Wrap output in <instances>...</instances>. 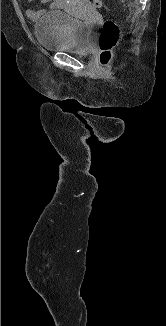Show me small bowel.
I'll use <instances>...</instances> for the list:
<instances>
[{
    "label": "small bowel",
    "instance_id": "c3829d8e",
    "mask_svg": "<svg viewBox=\"0 0 166 326\" xmlns=\"http://www.w3.org/2000/svg\"><path fill=\"white\" fill-rule=\"evenodd\" d=\"M28 2H33L34 0H27ZM79 1V0H77ZM42 3H50V9H58L67 7L70 4L76 3V0H40ZM43 14L42 11H36L32 8H27L25 15L32 21H36Z\"/></svg>",
    "mask_w": 166,
    "mask_h": 326
}]
</instances>
